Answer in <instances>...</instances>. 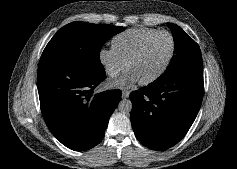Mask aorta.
I'll use <instances>...</instances> for the list:
<instances>
[{
  "mask_svg": "<svg viewBox=\"0 0 237 169\" xmlns=\"http://www.w3.org/2000/svg\"><path fill=\"white\" fill-rule=\"evenodd\" d=\"M118 110L123 114H128L132 110V103L129 99H122L118 104Z\"/></svg>",
  "mask_w": 237,
  "mask_h": 169,
  "instance_id": "obj_1",
  "label": "aorta"
}]
</instances>
